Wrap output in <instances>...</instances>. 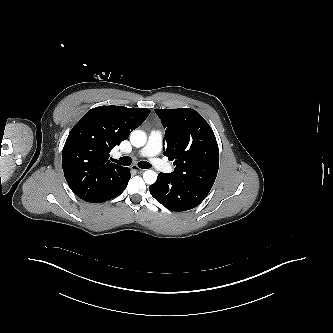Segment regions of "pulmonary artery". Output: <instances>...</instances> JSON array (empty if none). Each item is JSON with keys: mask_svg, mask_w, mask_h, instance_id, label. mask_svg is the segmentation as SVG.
<instances>
[{"mask_svg": "<svg viewBox=\"0 0 333 333\" xmlns=\"http://www.w3.org/2000/svg\"><path fill=\"white\" fill-rule=\"evenodd\" d=\"M163 134L160 130H152L149 134L147 144L138 153L141 157H147L150 163L159 171L172 172L173 168L158 157L162 147Z\"/></svg>", "mask_w": 333, "mask_h": 333, "instance_id": "1", "label": "pulmonary artery"}]
</instances>
